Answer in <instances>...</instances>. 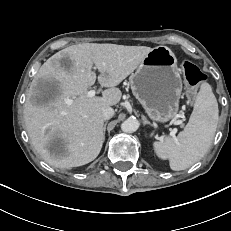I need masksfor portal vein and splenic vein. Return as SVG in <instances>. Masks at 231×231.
<instances>
[{"instance_id": "1", "label": "portal vein and splenic vein", "mask_w": 231, "mask_h": 231, "mask_svg": "<svg viewBox=\"0 0 231 231\" xmlns=\"http://www.w3.org/2000/svg\"><path fill=\"white\" fill-rule=\"evenodd\" d=\"M95 94H96V91H95V90H90V91L87 92V96H88L89 98L94 97ZM178 123L181 124V123H182V120H179Z\"/></svg>"}]
</instances>
